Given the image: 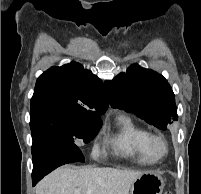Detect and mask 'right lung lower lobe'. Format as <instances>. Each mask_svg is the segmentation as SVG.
<instances>
[{
    "label": "right lung lower lobe",
    "mask_w": 201,
    "mask_h": 194,
    "mask_svg": "<svg viewBox=\"0 0 201 194\" xmlns=\"http://www.w3.org/2000/svg\"><path fill=\"white\" fill-rule=\"evenodd\" d=\"M78 153L81 151L73 142L56 139L50 135L33 138V186L58 166L69 163Z\"/></svg>",
    "instance_id": "1"
}]
</instances>
